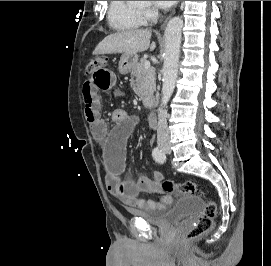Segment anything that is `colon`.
<instances>
[{"label": "colon", "instance_id": "obj_1", "mask_svg": "<svg viewBox=\"0 0 271 266\" xmlns=\"http://www.w3.org/2000/svg\"><path fill=\"white\" fill-rule=\"evenodd\" d=\"M105 65H108V59L106 57H95L88 64V71L91 72ZM161 188L168 193L176 195H193L200 193L198 184L193 181L176 183L172 180H164L161 182ZM216 209L217 206L213 200L206 202L197 221L186 231L184 236L186 241L195 240L211 230L216 215Z\"/></svg>", "mask_w": 271, "mask_h": 266}]
</instances>
